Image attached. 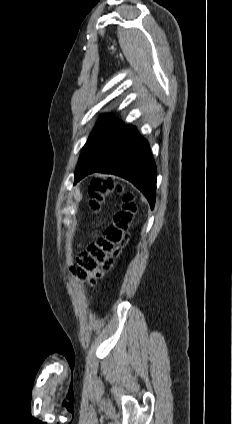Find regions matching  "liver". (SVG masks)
<instances>
[{
  "mask_svg": "<svg viewBox=\"0 0 232 424\" xmlns=\"http://www.w3.org/2000/svg\"><path fill=\"white\" fill-rule=\"evenodd\" d=\"M80 198H81V194H80V191L78 189L77 192H76V195H75V199L78 201V200H80Z\"/></svg>",
  "mask_w": 232,
  "mask_h": 424,
  "instance_id": "6515ba94",
  "label": "liver"
}]
</instances>
